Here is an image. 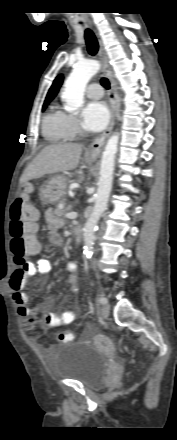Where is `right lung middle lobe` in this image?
Listing matches in <instances>:
<instances>
[{
  "label": "right lung middle lobe",
  "mask_w": 177,
  "mask_h": 440,
  "mask_svg": "<svg viewBox=\"0 0 177 440\" xmlns=\"http://www.w3.org/2000/svg\"><path fill=\"white\" fill-rule=\"evenodd\" d=\"M47 104H48V102H46V103L43 104V108H42L43 111L46 109Z\"/></svg>",
  "instance_id": "right-lung-middle-lobe-1"
}]
</instances>
